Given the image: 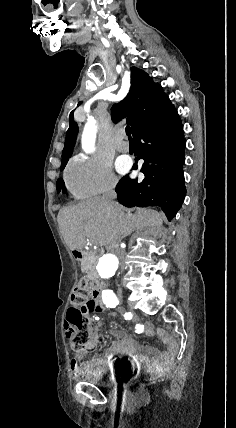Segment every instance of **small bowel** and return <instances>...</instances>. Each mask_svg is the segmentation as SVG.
Returning a JSON list of instances; mask_svg holds the SVG:
<instances>
[{
  "label": "small bowel",
  "mask_w": 236,
  "mask_h": 428,
  "mask_svg": "<svg viewBox=\"0 0 236 428\" xmlns=\"http://www.w3.org/2000/svg\"><path fill=\"white\" fill-rule=\"evenodd\" d=\"M101 307L102 311L107 310L105 307ZM135 330L137 333H143L147 336H152L154 334L153 326L148 323L136 324ZM156 333L165 345V349L162 352L149 346L140 345L126 333L116 331L115 335L117 339L107 349L106 356L102 361L109 362L116 356L128 355L132 358L133 363L138 367L144 366L149 371L162 370L176 354L177 345L164 329L158 328ZM84 355V352H78L71 361V369L75 375L78 374L86 365L84 362Z\"/></svg>",
  "instance_id": "c3829d8e"
}]
</instances>
